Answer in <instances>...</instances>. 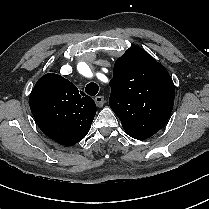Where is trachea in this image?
I'll return each mask as SVG.
<instances>
[{"label":"trachea","instance_id":"obj_1","mask_svg":"<svg viewBox=\"0 0 209 209\" xmlns=\"http://www.w3.org/2000/svg\"><path fill=\"white\" fill-rule=\"evenodd\" d=\"M99 87L96 83H88L85 87V92L88 95L95 96L98 93Z\"/></svg>","mask_w":209,"mask_h":209}]
</instances>
